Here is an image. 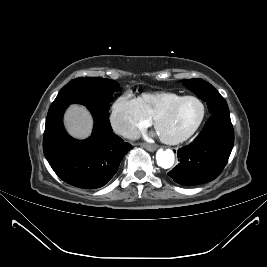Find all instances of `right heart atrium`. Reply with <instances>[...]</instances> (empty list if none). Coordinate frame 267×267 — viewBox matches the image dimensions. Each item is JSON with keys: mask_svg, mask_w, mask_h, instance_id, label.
Returning a JSON list of instances; mask_svg holds the SVG:
<instances>
[{"mask_svg": "<svg viewBox=\"0 0 267 267\" xmlns=\"http://www.w3.org/2000/svg\"><path fill=\"white\" fill-rule=\"evenodd\" d=\"M110 123L116 133L132 138L139 130L149 126L151 119L141 109L138 98L123 93L112 103Z\"/></svg>", "mask_w": 267, "mask_h": 267, "instance_id": "1", "label": "right heart atrium"}]
</instances>
